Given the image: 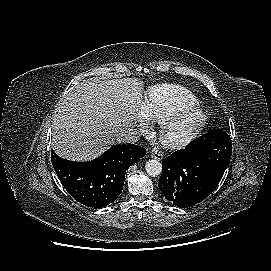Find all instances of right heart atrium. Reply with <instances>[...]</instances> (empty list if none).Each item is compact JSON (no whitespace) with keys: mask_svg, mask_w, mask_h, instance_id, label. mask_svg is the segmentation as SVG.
I'll return each mask as SVG.
<instances>
[{"mask_svg":"<svg viewBox=\"0 0 271 271\" xmlns=\"http://www.w3.org/2000/svg\"><path fill=\"white\" fill-rule=\"evenodd\" d=\"M140 128H141L142 131H145V130H146V123H145V122H142V123L140 124Z\"/></svg>","mask_w":271,"mask_h":271,"instance_id":"obj_1","label":"right heart atrium"}]
</instances>
